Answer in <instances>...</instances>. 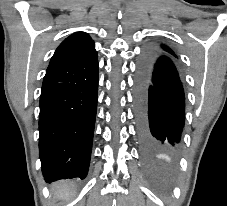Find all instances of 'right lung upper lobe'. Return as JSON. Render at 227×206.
<instances>
[{
	"label": "right lung upper lobe",
	"instance_id": "cb5924a9",
	"mask_svg": "<svg viewBox=\"0 0 227 206\" xmlns=\"http://www.w3.org/2000/svg\"><path fill=\"white\" fill-rule=\"evenodd\" d=\"M97 57L95 44L87 33L76 32L66 38L51 58L47 72Z\"/></svg>",
	"mask_w": 227,
	"mask_h": 206
}]
</instances>
